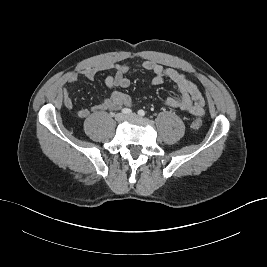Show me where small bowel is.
<instances>
[{
  "mask_svg": "<svg viewBox=\"0 0 267 267\" xmlns=\"http://www.w3.org/2000/svg\"><path fill=\"white\" fill-rule=\"evenodd\" d=\"M138 67L153 74L151 79L153 85H160L166 79L173 81L177 85L180 94L168 97L164 101L167 107L180 109L183 112L196 116H202L204 114V98L197 86L185 74L173 68H165L153 61H144ZM130 69L131 67L129 65L119 63H107L98 67L84 69L81 74L88 80H93L100 71H112L113 73L106 77L105 85L107 88L114 90L102 103L96 104L91 108L83 107L79 109L78 116L85 119L94 112L117 110L124 106H131V98L127 94L115 89L127 88L130 85V80L127 78V73ZM77 80L78 75L72 74L68 76L67 83L74 84ZM62 104L66 109L73 108V101L68 88L63 89Z\"/></svg>",
  "mask_w": 267,
  "mask_h": 267,
  "instance_id": "small-bowel-1",
  "label": "small bowel"
}]
</instances>
